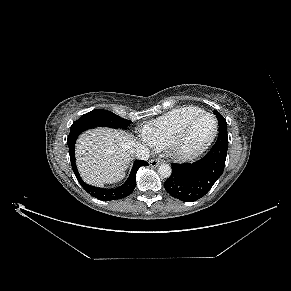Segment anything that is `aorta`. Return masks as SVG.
<instances>
[{
    "instance_id": "obj_1",
    "label": "aorta",
    "mask_w": 291,
    "mask_h": 291,
    "mask_svg": "<svg viewBox=\"0 0 291 291\" xmlns=\"http://www.w3.org/2000/svg\"><path fill=\"white\" fill-rule=\"evenodd\" d=\"M158 173L161 177L168 178L172 173V169L168 164L164 163L158 167Z\"/></svg>"
}]
</instances>
